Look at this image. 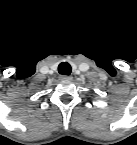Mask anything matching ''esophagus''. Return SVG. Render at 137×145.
<instances>
[{
  "label": "esophagus",
  "mask_w": 137,
  "mask_h": 145,
  "mask_svg": "<svg viewBox=\"0 0 137 145\" xmlns=\"http://www.w3.org/2000/svg\"><path fill=\"white\" fill-rule=\"evenodd\" d=\"M60 78H61V80H66V81L72 79V77L68 76V75H62Z\"/></svg>",
  "instance_id": "esophagus-1"
}]
</instances>
